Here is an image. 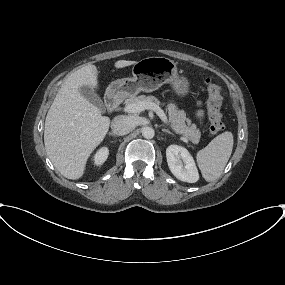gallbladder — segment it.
<instances>
[{
    "mask_svg": "<svg viewBox=\"0 0 285 285\" xmlns=\"http://www.w3.org/2000/svg\"><path fill=\"white\" fill-rule=\"evenodd\" d=\"M79 91L85 99L97 106L101 111H104L103 101L92 87L83 85L80 87Z\"/></svg>",
    "mask_w": 285,
    "mask_h": 285,
    "instance_id": "gallbladder-1",
    "label": "gallbladder"
}]
</instances>
